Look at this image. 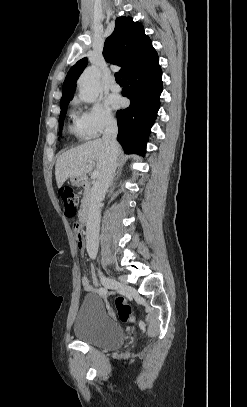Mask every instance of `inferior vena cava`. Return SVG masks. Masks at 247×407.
<instances>
[{
  "mask_svg": "<svg viewBox=\"0 0 247 407\" xmlns=\"http://www.w3.org/2000/svg\"><path fill=\"white\" fill-rule=\"evenodd\" d=\"M118 127L115 120H109L103 133V142L108 151L106 166L98 176L91 190V198L88 205V217L86 222V248L90 258L95 259L98 251V236L100 227V205L105 197L107 189L113 178L117 167V150L116 141Z\"/></svg>",
  "mask_w": 247,
  "mask_h": 407,
  "instance_id": "1",
  "label": "inferior vena cava"
}]
</instances>
